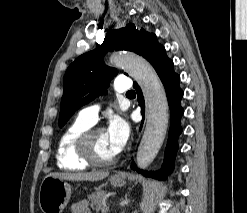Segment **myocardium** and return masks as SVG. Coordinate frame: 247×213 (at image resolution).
<instances>
[{
    "label": "myocardium",
    "mask_w": 247,
    "mask_h": 213,
    "mask_svg": "<svg viewBox=\"0 0 247 213\" xmlns=\"http://www.w3.org/2000/svg\"><path fill=\"white\" fill-rule=\"evenodd\" d=\"M103 130L98 127H90L82 132L75 143L77 157L86 165L94 167L109 166L116 162L117 156L107 160L98 159L93 153V138L98 131Z\"/></svg>",
    "instance_id": "f54148a6"
}]
</instances>
